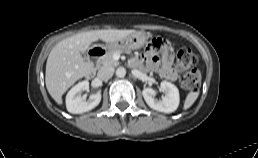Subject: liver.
<instances>
[{"label": "liver", "mask_w": 258, "mask_h": 158, "mask_svg": "<svg viewBox=\"0 0 258 158\" xmlns=\"http://www.w3.org/2000/svg\"><path fill=\"white\" fill-rule=\"evenodd\" d=\"M135 30H94L81 32L58 42L51 50L45 73L46 88L51 97L62 104V96L77 80L88 76L93 69L90 62L84 60L82 53L98 40L106 43L120 40Z\"/></svg>", "instance_id": "6515ba94"}]
</instances>
